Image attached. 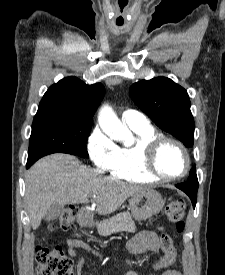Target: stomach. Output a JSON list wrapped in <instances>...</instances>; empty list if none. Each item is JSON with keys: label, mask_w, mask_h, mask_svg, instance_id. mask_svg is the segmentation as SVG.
Instances as JSON below:
<instances>
[{"label": "stomach", "mask_w": 225, "mask_h": 275, "mask_svg": "<svg viewBox=\"0 0 225 275\" xmlns=\"http://www.w3.org/2000/svg\"><path fill=\"white\" fill-rule=\"evenodd\" d=\"M131 214L137 221L147 220L157 215L164 206V200L160 193L148 189L136 193L129 199Z\"/></svg>", "instance_id": "stomach-1"}]
</instances>
